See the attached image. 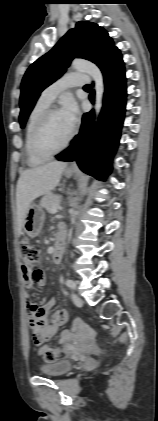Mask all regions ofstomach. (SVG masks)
<instances>
[{
    "label": "stomach",
    "instance_id": "obj_1",
    "mask_svg": "<svg viewBox=\"0 0 158 421\" xmlns=\"http://www.w3.org/2000/svg\"><path fill=\"white\" fill-rule=\"evenodd\" d=\"M64 173L66 177H71L75 174V170L67 168ZM44 219L45 214L42 208L35 204L30 205L23 220L25 233L31 238L38 236L43 227Z\"/></svg>",
    "mask_w": 158,
    "mask_h": 421
}]
</instances>
